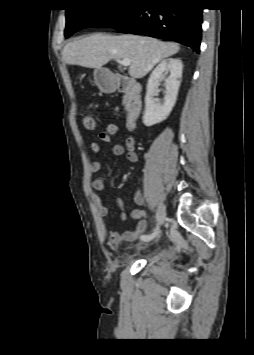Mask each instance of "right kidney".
Segmentation results:
<instances>
[{
	"label": "right kidney",
	"instance_id": "right-kidney-1",
	"mask_svg": "<svg viewBox=\"0 0 254 355\" xmlns=\"http://www.w3.org/2000/svg\"><path fill=\"white\" fill-rule=\"evenodd\" d=\"M183 64L178 58H169L161 61L151 73L145 96V111L143 123L152 126L165 120L172 111L180 87ZM170 75L165 80L166 93L162 100L156 99L155 93L160 79L166 74Z\"/></svg>",
	"mask_w": 254,
	"mask_h": 355
}]
</instances>
